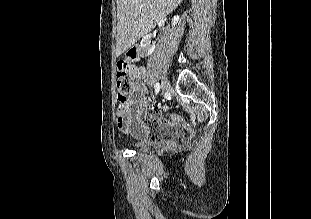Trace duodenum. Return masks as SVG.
<instances>
[{
	"instance_id": "obj_1",
	"label": "duodenum",
	"mask_w": 311,
	"mask_h": 219,
	"mask_svg": "<svg viewBox=\"0 0 311 219\" xmlns=\"http://www.w3.org/2000/svg\"><path fill=\"white\" fill-rule=\"evenodd\" d=\"M134 50V53L133 54H135V57H136V50L135 49H133Z\"/></svg>"
}]
</instances>
